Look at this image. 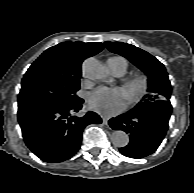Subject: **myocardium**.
I'll return each mask as SVG.
<instances>
[{
  "label": "myocardium",
  "mask_w": 194,
  "mask_h": 193,
  "mask_svg": "<svg viewBox=\"0 0 194 193\" xmlns=\"http://www.w3.org/2000/svg\"><path fill=\"white\" fill-rule=\"evenodd\" d=\"M124 88L127 92L128 102L135 104L146 95L149 88V80L145 75H134L125 79Z\"/></svg>",
  "instance_id": "obj_1"
}]
</instances>
